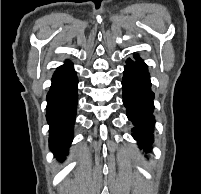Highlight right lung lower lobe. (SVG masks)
Instances as JSON below:
<instances>
[{"label": "right lung lower lobe", "mask_w": 201, "mask_h": 194, "mask_svg": "<svg viewBox=\"0 0 201 194\" xmlns=\"http://www.w3.org/2000/svg\"><path fill=\"white\" fill-rule=\"evenodd\" d=\"M77 84L72 63L67 61L56 69L46 97L49 148L59 160H64L73 138L78 100Z\"/></svg>", "instance_id": "right-lung-lower-lobe-1"}]
</instances>
